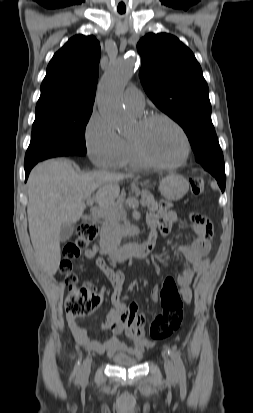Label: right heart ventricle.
Segmentation results:
<instances>
[{
  "instance_id": "right-heart-ventricle-1",
  "label": "right heart ventricle",
  "mask_w": 253,
  "mask_h": 413,
  "mask_svg": "<svg viewBox=\"0 0 253 413\" xmlns=\"http://www.w3.org/2000/svg\"><path fill=\"white\" fill-rule=\"evenodd\" d=\"M123 147L115 166L143 167L145 164L137 156L130 138H122Z\"/></svg>"
}]
</instances>
